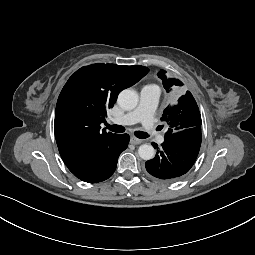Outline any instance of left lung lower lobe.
<instances>
[{
	"mask_svg": "<svg viewBox=\"0 0 255 255\" xmlns=\"http://www.w3.org/2000/svg\"><path fill=\"white\" fill-rule=\"evenodd\" d=\"M201 126L189 128L165 137L162 148L152 143L157 152L147 161V172L163 182H174L193 166L201 146Z\"/></svg>",
	"mask_w": 255,
	"mask_h": 255,
	"instance_id": "0a47b994",
	"label": "left lung lower lobe"
}]
</instances>
